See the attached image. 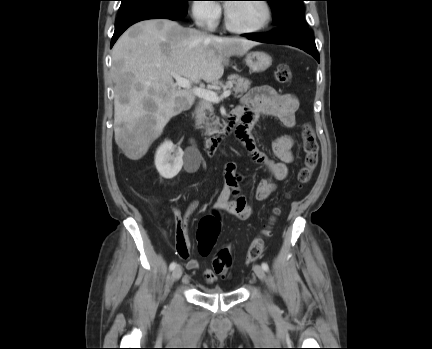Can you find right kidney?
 <instances>
[{
    "label": "right kidney",
    "mask_w": 432,
    "mask_h": 349,
    "mask_svg": "<svg viewBox=\"0 0 432 349\" xmlns=\"http://www.w3.org/2000/svg\"><path fill=\"white\" fill-rule=\"evenodd\" d=\"M183 150L173 145L171 141L161 144L155 154V166L159 174L165 179L175 177L183 166Z\"/></svg>",
    "instance_id": "right-kidney-1"
}]
</instances>
